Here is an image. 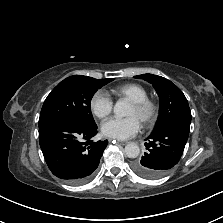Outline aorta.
Listing matches in <instances>:
<instances>
[{"instance_id":"obj_1","label":"aorta","mask_w":223,"mask_h":223,"mask_svg":"<svg viewBox=\"0 0 223 223\" xmlns=\"http://www.w3.org/2000/svg\"><path fill=\"white\" fill-rule=\"evenodd\" d=\"M129 105L124 101H117L114 105V114L116 117H125L128 115ZM124 153L128 158H136L140 154V148L136 143H128L124 148Z\"/></svg>"}]
</instances>
